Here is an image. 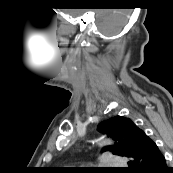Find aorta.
I'll return each instance as SVG.
<instances>
[{"mask_svg": "<svg viewBox=\"0 0 173 173\" xmlns=\"http://www.w3.org/2000/svg\"><path fill=\"white\" fill-rule=\"evenodd\" d=\"M112 143H113V141L111 139H109V138H105V139H102L100 141L101 145H111Z\"/></svg>", "mask_w": 173, "mask_h": 173, "instance_id": "aorta-1", "label": "aorta"}]
</instances>
